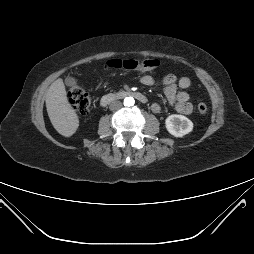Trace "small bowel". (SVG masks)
Returning <instances> with one entry per match:
<instances>
[{"mask_svg": "<svg viewBox=\"0 0 254 254\" xmlns=\"http://www.w3.org/2000/svg\"><path fill=\"white\" fill-rule=\"evenodd\" d=\"M141 83L145 86H154L155 79L151 75H143L140 79ZM164 89V94L167 103L173 106L174 110L180 114L188 115L193 110V105L189 101L190 96L188 89L191 81L188 77L178 78L174 74H168L163 77L161 81ZM153 112L158 113L161 110L159 103L154 102L151 104Z\"/></svg>", "mask_w": 254, "mask_h": 254, "instance_id": "small-bowel-1", "label": "small bowel"}]
</instances>
